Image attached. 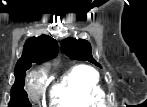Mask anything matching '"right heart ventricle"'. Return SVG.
<instances>
[{
    "mask_svg": "<svg viewBox=\"0 0 147 107\" xmlns=\"http://www.w3.org/2000/svg\"><path fill=\"white\" fill-rule=\"evenodd\" d=\"M103 96L99 72L88 65H76L52 90L55 107H100Z\"/></svg>",
    "mask_w": 147,
    "mask_h": 107,
    "instance_id": "right-heart-ventricle-1",
    "label": "right heart ventricle"
}]
</instances>
